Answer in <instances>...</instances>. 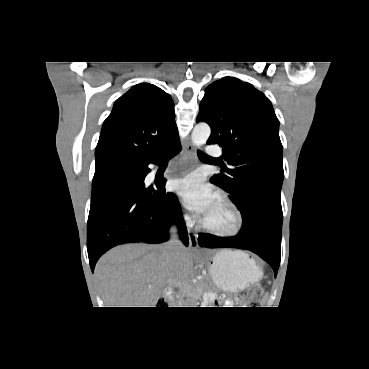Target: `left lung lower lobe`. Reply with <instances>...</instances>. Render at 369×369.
<instances>
[{
  "mask_svg": "<svg viewBox=\"0 0 369 369\" xmlns=\"http://www.w3.org/2000/svg\"><path fill=\"white\" fill-rule=\"evenodd\" d=\"M282 220V213L264 210L249 227L242 226L238 235L234 237L217 238L201 233L198 242L201 247L207 248L250 250L267 261L276 276L280 265Z\"/></svg>",
  "mask_w": 369,
  "mask_h": 369,
  "instance_id": "obj_1",
  "label": "left lung lower lobe"
}]
</instances>
